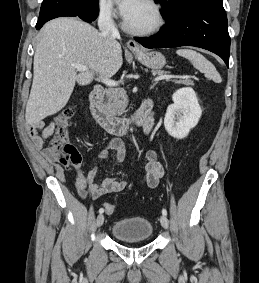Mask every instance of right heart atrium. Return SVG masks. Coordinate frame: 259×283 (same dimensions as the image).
I'll return each instance as SVG.
<instances>
[{
    "instance_id": "1",
    "label": "right heart atrium",
    "mask_w": 259,
    "mask_h": 283,
    "mask_svg": "<svg viewBox=\"0 0 259 283\" xmlns=\"http://www.w3.org/2000/svg\"><path fill=\"white\" fill-rule=\"evenodd\" d=\"M98 14L105 19H110L114 16V8L110 0H98Z\"/></svg>"
}]
</instances>
